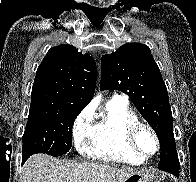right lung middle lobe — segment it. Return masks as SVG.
<instances>
[{
	"mask_svg": "<svg viewBox=\"0 0 196 182\" xmlns=\"http://www.w3.org/2000/svg\"><path fill=\"white\" fill-rule=\"evenodd\" d=\"M80 112L69 107L30 110L23 135L22 159L27 160L35 153L54 157L66 154L72 146V127Z\"/></svg>",
	"mask_w": 196,
	"mask_h": 182,
	"instance_id": "right-lung-middle-lobe-1",
	"label": "right lung middle lobe"
}]
</instances>
